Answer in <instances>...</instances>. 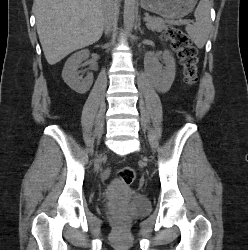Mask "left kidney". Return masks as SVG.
Returning <instances> with one entry per match:
<instances>
[{
  "mask_svg": "<svg viewBox=\"0 0 248 250\" xmlns=\"http://www.w3.org/2000/svg\"><path fill=\"white\" fill-rule=\"evenodd\" d=\"M165 69L156 68L154 72V86L158 91L169 89L175 78V59L170 51L163 53Z\"/></svg>",
  "mask_w": 248,
  "mask_h": 250,
  "instance_id": "obj_1",
  "label": "left kidney"
}]
</instances>
